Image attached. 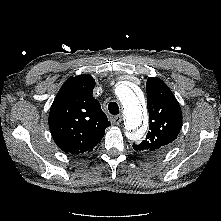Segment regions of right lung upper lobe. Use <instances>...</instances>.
<instances>
[{
	"label": "right lung upper lobe",
	"instance_id": "right-lung-upper-lobe-1",
	"mask_svg": "<svg viewBox=\"0 0 221 221\" xmlns=\"http://www.w3.org/2000/svg\"><path fill=\"white\" fill-rule=\"evenodd\" d=\"M95 80L89 75L70 77L57 93L49 114V127L65 153L90 152L111 125L92 92Z\"/></svg>",
	"mask_w": 221,
	"mask_h": 221
}]
</instances>
